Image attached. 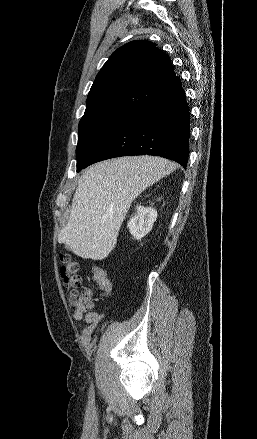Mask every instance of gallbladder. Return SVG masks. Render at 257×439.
Wrapping results in <instances>:
<instances>
[{"mask_svg":"<svg viewBox=\"0 0 257 439\" xmlns=\"http://www.w3.org/2000/svg\"><path fill=\"white\" fill-rule=\"evenodd\" d=\"M65 248H66L67 250H70V247H69L68 245H65Z\"/></svg>","mask_w":257,"mask_h":439,"instance_id":"1","label":"gallbladder"}]
</instances>
